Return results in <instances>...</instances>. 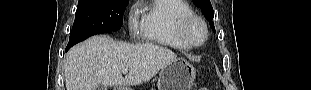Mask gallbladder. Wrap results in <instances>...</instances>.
Returning a JSON list of instances; mask_svg holds the SVG:
<instances>
[{
    "mask_svg": "<svg viewBox=\"0 0 311 90\" xmlns=\"http://www.w3.org/2000/svg\"><path fill=\"white\" fill-rule=\"evenodd\" d=\"M95 90H107V88H106V86L100 84V85H98V86L95 88Z\"/></svg>",
    "mask_w": 311,
    "mask_h": 90,
    "instance_id": "gallbladder-1",
    "label": "gallbladder"
}]
</instances>
